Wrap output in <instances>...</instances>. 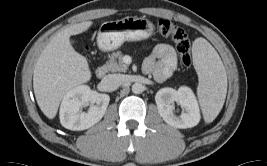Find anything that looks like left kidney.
Wrapping results in <instances>:
<instances>
[{"mask_svg":"<svg viewBox=\"0 0 267 166\" xmlns=\"http://www.w3.org/2000/svg\"><path fill=\"white\" fill-rule=\"evenodd\" d=\"M157 109L162 119L170 126L186 129L196 126L200 121V110L193 91L188 87L162 88L155 96ZM179 104L185 112L177 116L174 103Z\"/></svg>","mask_w":267,"mask_h":166,"instance_id":"5707ae66","label":"left kidney"}]
</instances>
